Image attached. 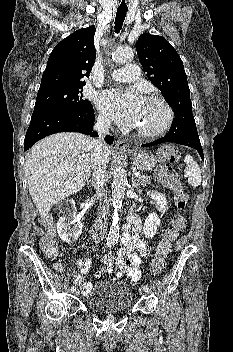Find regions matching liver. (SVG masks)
Segmentation results:
<instances>
[{
    "instance_id": "liver-1",
    "label": "liver",
    "mask_w": 233,
    "mask_h": 352,
    "mask_svg": "<svg viewBox=\"0 0 233 352\" xmlns=\"http://www.w3.org/2000/svg\"><path fill=\"white\" fill-rule=\"evenodd\" d=\"M93 140L80 133H57L37 142L25 162L29 193L41 218L80 191L91 174ZM107 162L111 151L103 148Z\"/></svg>"
}]
</instances>
